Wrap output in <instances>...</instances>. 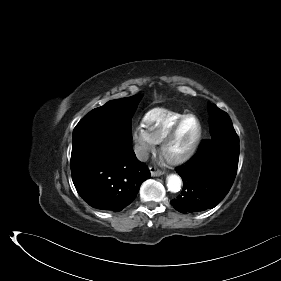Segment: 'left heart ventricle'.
<instances>
[{
	"label": "left heart ventricle",
	"mask_w": 281,
	"mask_h": 281,
	"mask_svg": "<svg viewBox=\"0 0 281 281\" xmlns=\"http://www.w3.org/2000/svg\"><path fill=\"white\" fill-rule=\"evenodd\" d=\"M197 133H198L197 120L193 117H189L188 119L185 120L178 134L168 146L167 153L169 155H175L183 151L193 142Z\"/></svg>",
	"instance_id": "b2bd125f"
}]
</instances>
